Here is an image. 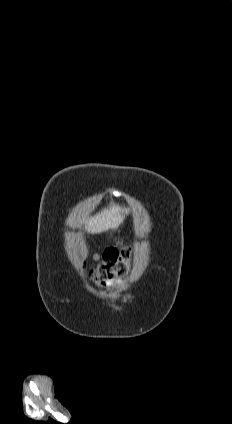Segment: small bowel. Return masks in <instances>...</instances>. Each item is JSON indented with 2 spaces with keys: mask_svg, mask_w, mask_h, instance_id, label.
<instances>
[{
  "mask_svg": "<svg viewBox=\"0 0 232 424\" xmlns=\"http://www.w3.org/2000/svg\"><path fill=\"white\" fill-rule=\"evenodd\" d=\"M119 287V282L117 281H107L102 282L98 285V289L103 292L105 295H109L113 292H116Z\"/></svg>",
  "mask_w": 232,
  "mask_h": 424,
  "instance_id": "1",
  "label": "small bowel"
}]
</instances>
